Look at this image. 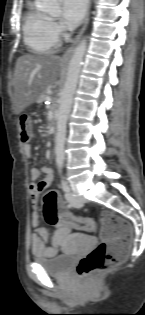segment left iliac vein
I'll return each instance as SVG.
<instances>
[{
	"label": "left iliac vein",
	"mask_w": 145,
	"mask_h": 315,
	"mask_svg": "<svg viewBox=\"0 0 145 315\" xmlns=\"http://www.w3.org/2000/svg\"><path fill=\"white\" fill-rule=\"evenodd\" d=\"M65 198L74 207H82L84 204L83 198L75 196L72 191L66 192Z\"/></svg>",
	"instance_id": "1"
}]
</instances>
